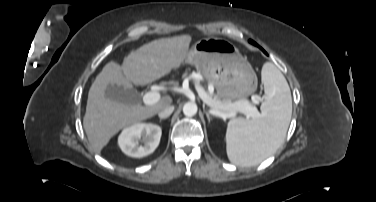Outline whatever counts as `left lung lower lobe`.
Here are the masks:
<instances>
[{
  "label": "left lung lower lobe",
  "instance_id": "obj_1",
  "mask_svg": "<svg viewBox=\"0 0 376 202\" xmlns=\"http://www.w3.org/2000/svg\"><path fill=\"white\" fill-rule=\"evenodd\" d=\"M253 43L252 44H254V45H256V46H258L254 41H252ZM259 47V46H258ZM261 48V47H260Z\"/></svg>",
  "mask_w": 376,
  "mask_h": 202
}]
</instances>
